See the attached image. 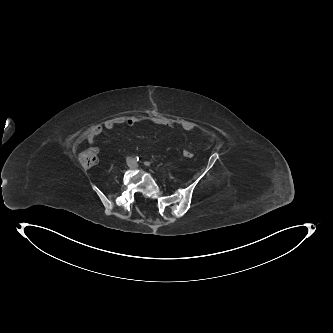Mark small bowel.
Wrapping results in <instances>:
<instances>
[{
    "mask_svg": "<svg viewBox=\"0 0 333 333\" xmlns=\"http://www.w3.org/2000/svg\"><path fill=\"white\" fill-rule=\"evenodd\" d=\"M155 124L164 126V127H172L175 123L166 118H155L152 120ZM140 120L137 117H128V118H115V119H108L103 124L97 125L89 130L86 135V140L88 143L93 144L98 136L104 130H111L116 125L126 124L128 126H134L138 124ZM178 125L184 130L188 132L192 131H199L206 139L207 143L210 144L213 141L212 136L207 133L203 128L199 127L195 123L187 120H182L178 122ZM93 150L97 153V148H93Z\"/></svg>",
    "mask_w": 333,
    "mask_h": 333,
    "instance_id": "obj_1",
    "label": "small bowel"
}]
</instances>
